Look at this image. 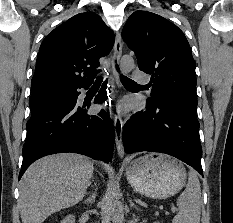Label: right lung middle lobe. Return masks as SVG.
I'll use <instances>...</instances> for the list:
<instances>
[{"label":"right lung middle lobe","instance_id":"obj_1","mask_svg":"<svg viewBox=\"0 0 233 223\" xmlns=\"http://www.w3.org/2000/svg\"><path fill=\"white\" fill-rule=\"evenodd\" d=\"M45 92V91H44ZM41 93L38 94H34L31 95L30 101H29V105H30V109L32 114L38 112L39 110L48 107L43 99V97H41Z\"/></svg>","mask_w":233,"mask_h":223}]
</instances>
